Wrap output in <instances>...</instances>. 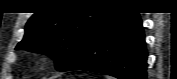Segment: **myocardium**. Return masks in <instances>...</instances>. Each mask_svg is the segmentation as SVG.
<instances>
[{"instance_id": "obj_1", "label": "myocardium", "mask_w": 177, "mask_h": 79, "mask_svg": "<svg viewBox=\"0 0 177 79\" xmlns=\"http://www.w3.org/2000/svg\"><path fill=\"white\" fill-rule=\"evenodd\" d=\"M48 56H43L40 58V63L46 65L48 63Z\"/></svg>"}]
</instances>
